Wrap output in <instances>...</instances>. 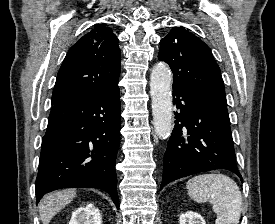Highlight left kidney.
Returning <instances> with one entry per match:
<instances>
[{
	"label": "left kidney",
	"instance_id": "left-kidney-1",
	"mask_svg": "<svg viewBox=\"0 0 275 224\" xmlns=\"http://www.w3.org/2000/svg\"><path fill=\"white\" fill-rule=\"evenodd\" d=\"M179 224H206L201 215L188 211L180 216Z\"/></svg>",
	"mask_w": 275,
	"mask_h": 224
}]
</instances>
